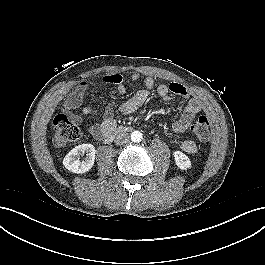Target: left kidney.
Instances as JSON below:
<instances>
[{"instance_id":"obj_1","label":"left kidney","mask_w":265,"mask_h":265,"mask_svg":"<svg viewBox=\"0 0 265 265\" xmlns=\"http://www.w3.org/2000/svg\"><path fill=\"white\" fill-rule=\"evenodd\" d=\"M175 164L181 170H187L191 168V161L183 152L175 151L173 153Z\"/></svg>"}]
</instances>
